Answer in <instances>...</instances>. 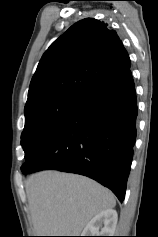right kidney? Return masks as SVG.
<instances>
[{"label":"right kidney","instance_id":"ca27d5eb","mask_svg":"<svg viewBox=\"0 0 158 237\" xmlns=\"http://www.w3.org/2000/svg\"><path fill=\"white\" fill-rule=\"evenodd\" d=\"M117 219L118 215L115 210H104L88 222L81 236H113Z\"/></svg>","mask_w":158,"mask_h":237}]
</instances>
